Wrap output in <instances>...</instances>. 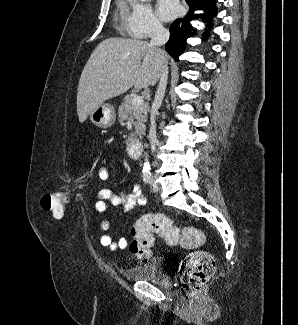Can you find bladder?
<instances>
[{"label":"bladder","instance_id":"31cf9c89","mask_svg":"<svg viewBox=\"0 0 298 325\" xmlns=\"http://www.w3.org/2000/svg\"><path fill=\"white\" fill-rule=\"evenodd\" d=\"M122 275L128 281L148 282L164 288L172 287V280L164 272L162 263L158 259H151L124 269Z\"/></svg>","mask_w":298,"mask_h":325}]
</instances>
